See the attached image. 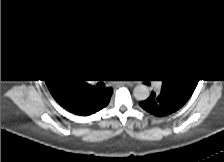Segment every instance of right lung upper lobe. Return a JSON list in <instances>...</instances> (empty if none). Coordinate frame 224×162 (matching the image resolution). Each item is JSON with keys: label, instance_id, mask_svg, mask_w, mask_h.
I'll list each match as a JSON object with an SVG mask.
<instances>
[{"label": "right lung upper lobe", "instance_id": "1", "mask_svg": "<svg viewBox=\"0 0 224 162\" xmlns=\"http://www.w3.org/2000/svg\"><path fill=\"white\" fill-rule=\"evenodd\" d=\"M53 98L66 110L77 115L90 114L96 110L110 92L89 89L81 79L53 76L45 78Z\"/></svg>", "mask_w": 224, "mask_h": 162}]
</instances>
